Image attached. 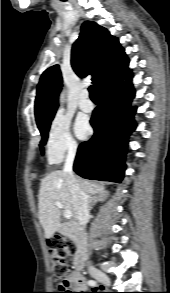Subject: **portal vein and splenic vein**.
I'll return each instance as SVG.
<instances>
[{"label":"portal vein and splenic vein","mask_w":170,"mask_h":293,"mask_svg":"<svg viewBox=\"0 0 170 293\" xmlns=\"http://www.w3.org/2000/svg\"><path fill=\"white\" fill-rule=\"evenodd\" d=\"M55 205H56L58 208H60V209L63 208V205H62L60 202H55ZM64 217H65L66 219H70V218L72 217V212H71L70 210H65V211H64Z\"/></svg>","instance_id":"portal-vein-and-splenic-vein-1"}]
</instances>
